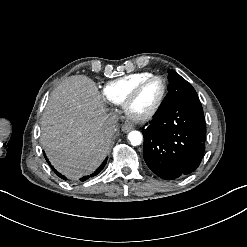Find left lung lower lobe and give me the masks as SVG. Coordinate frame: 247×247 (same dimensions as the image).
<instances>
[{
	"mask_svg": "<svg viewBox=\"0 0 247 247\" xmlns=\"http://www.w3.org/2000/svg\"><path fill=\"white\" fill-rule=\"evenodd\" d=\"M142 133L144 160L152 172L166 180L192 173L205 151L201 102L178 101L158 110Z\"/></svg>",
	"mask_w": 247,
	"mask_h": 247,
	"instance_id": "obj_1",
	"label": "left lung lower lobe"
}]
</instances>
